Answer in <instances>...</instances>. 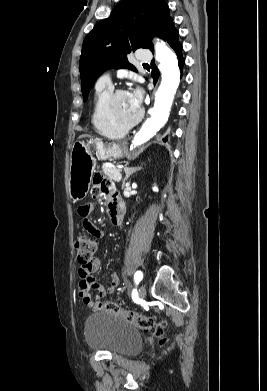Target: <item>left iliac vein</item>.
<instances>
[{
  "label": "left iliac vein",
  "instance_id": "4c4485c4",
  "mask_svg": "<svg viewBox=\"0 0 267 391\" xmlns=\"http://www.w3.org/2000/svg\"><path fill=\"white\" fill-rule=\"evenodd\" d=\"M146 296V287L144 285H142L140 288H139V297L141 299L145 298Z\"/></svg>",
  "mask_w": 267,
  "mask_h": 391
}]
</instances>
